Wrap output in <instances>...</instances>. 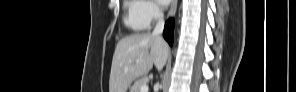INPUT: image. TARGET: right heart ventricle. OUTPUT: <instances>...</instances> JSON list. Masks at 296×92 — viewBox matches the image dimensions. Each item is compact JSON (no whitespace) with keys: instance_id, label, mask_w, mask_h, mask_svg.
<instances>
[{"instance_id":"obj_1","label":"right heart ventricle","mask_w":296,"mask_h":92,"mask_svg":"<svg viewBox=\"0 0 296 92\" xmlns=\"http://www.w3.org/2000/svg\"><path fill=\"white\" fill-rule=\"evenodd\" d=\"M138 1H126V15L124 17V24L133 31L145 30L147 25L140 19L138 12Z\"/></svg>"}]
</instances>
